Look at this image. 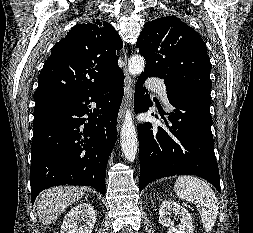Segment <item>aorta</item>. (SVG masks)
<instances>
[{
    "instance_id": "1",
    "label": "aorta",
    "mask_w": 253,
    "mask_h": 233,
    "mask_svg": "<svg viewBox=\"0 0 253 233\" xmlns=\"http://www.w3.org/2000/svg\"><path fill=\"white\" fill-rule=\"evenodd\" d=\"M144 67L145 60L141 55H133L128 62V71L133 76L141 74ZM121 148L125 158L133 162L137 154L138 139L130 109L126 111L121 128Z\"/></svg>"
}]
</instances>
